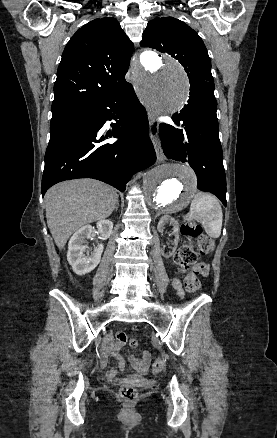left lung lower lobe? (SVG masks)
Returning <instances> with one entry per match:
<instances>
[{
  "instance_id": "left-lung-lower-lobe-1",
  "label": "left lung lower lobe",
  "mask_w": 277,
  "mask_h": 438,
  "mask_svg": "<svg viewBox=\"0 0 277 438\" xmlns=\"http://www.w3.org/2000/svg\"><path fill=\"white\" fill-rule=\"evenodd\" d=\"M215 98H190L188 104L172 116L181 128L160 124L161 144L169 159L189 162L198 178L197 188L216 195L226 206V177L219 140Z\"/></svg>"
}]
</instances>
